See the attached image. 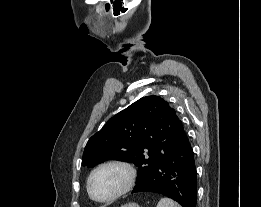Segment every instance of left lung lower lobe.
<instances>
[{
    "label": "left lung lower lobe",
    "instance_id": "obj_1",
    "mask_svg": "<svg viewBox=\"0 0 261 207\" xmlns=\"http://www.w3.org/2000/svg\"><path fill=\"white\" fill-rule=\"evenodd\" d=\"M157 193L183 207H196L197 177L194 152L184 131L177 147L144 179L132 193Z\"/></svg>",
    "mask_w": 261,
    "mask_h": 207
}]
</instances>
